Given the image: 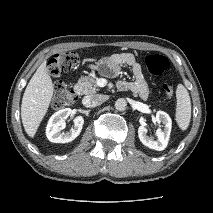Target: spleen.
<instances>
[{
  "mask_svg": "<svg viewBox=\"0 0 213 213\" xmlns=\"http://www.w3.org/2000/svg\"><path fill=\"white\" fill-rule=\"evenodd\" d=\"M176 113L175 120L182 131H185L191 119V100L186 88L179 84L176 89Z\"/></svg>",
  "mask_w": 213,
  "mask_h": 213,
  "instance_id": "obj_1",
  "label": "spleen"
}]
</instances>
